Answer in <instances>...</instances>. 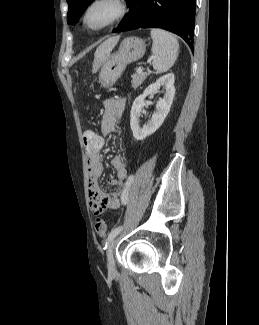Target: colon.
<instances>
[{
	"label": "colon",
	"mask_w": 259,
	"mask_h": 325,
	"mask_svg": "<svg viewBox=\"0 0 259 325\" xmlns=\"http://www.w3.org/2000/svg\"><path fill=\"white\" fill-rule=\"evenodd\" d=\"M84 145L87 149H102L103 148V139L97 138V135L93 131H86L84 133ZM94 228L97 235L101 238H104L107 235V226L105 221L96 217L94 220Z\"/></svg>",
	"instance_id": "colon-1"
}]
</instances>
